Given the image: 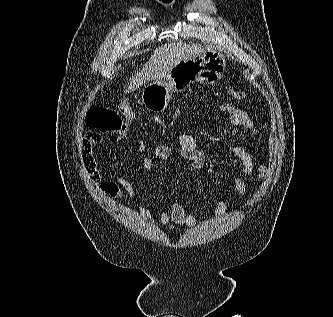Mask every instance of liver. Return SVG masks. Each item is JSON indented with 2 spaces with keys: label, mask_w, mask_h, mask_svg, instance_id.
I'll list each match as a JSON object with an SVG mask.
<instances>
[{
  "label": "liver",
  "mask_w": 333,
  "mask_h": 317,
  "mask_svg": "<svg viewBox=\"0 0 333 317\" xmlns=\"http://www.w3.org/2000/svg\"><path fill=\"white\" fill-rule=\"evenodd\" d=\"M201 52L200 45L186 44L181 41L156 48L142 70L130 79L125 93L134 91L146 81L164 78L179 62L200 55Z\"/></svg>",
  "instance_id": "liver-1"
}]
</instances>
